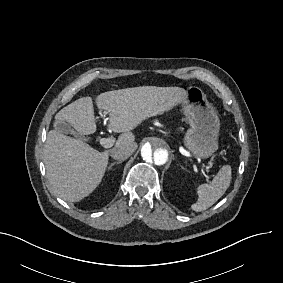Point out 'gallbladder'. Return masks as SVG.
I'll use <instances>...</instances> for the list:
<instances>
[{"label":"gallbladder","mask_w":283,"mask_h":283,"mask_svg":"<svg viewBox=\"0 0 283 283\" xmlns=\"http://www.w3.org/2000/svg\"><path fill=\"white\" fill-rule=\"evenodd\" d=\"M54 127L56 128V130H58L61 133H65V134H72L74 135L76 138L78 139H82V140H86L85 136L78 134L76 131H74L71 126L69 124H67L66 122H58L55 121L54 123Z\"/></svg>","instance_id":"gallbladder-1"}]
</instances>
